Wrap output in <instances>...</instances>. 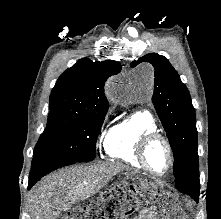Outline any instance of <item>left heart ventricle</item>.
Segmentation results:
<instances>
[{"label":"left heart ventricle","mask_w":221,"mask_h":219,"mask_svg":"<svg viewBox=\"0 0 221 219\" xmlns=\"http://www.w3.org/2000/svg\"><path fill=\"white\" fill-rule=\"evenodd\" d=\"M149 166L157 173H164L169 165V157L164 144L156 141L149 146L146 153Z\"/></svg>","instance_id":"1"}]
</instances>
